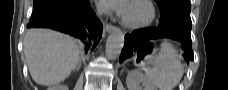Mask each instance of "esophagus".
Returning a JSON list of instances; mask_svg holds the SVG:
<instances>
[{
	"label": "esophagus",
	"mask_w": 228,
	"mask_h": 90,
	"mask_svg": "<svg viewBox=\"0 0 228 90\" xmlns=\"http://www.w3.org/2000/svg\"><path fill=\"white\" fill-rule=\"evenodd\" d=\"M119 29L116 27V26H113V25H110V24H107L106 25V31L108 33H111V32H116L118 31Z\"/></svg>",
	"instance_id": "esophagus-1"
}]
</instances>
